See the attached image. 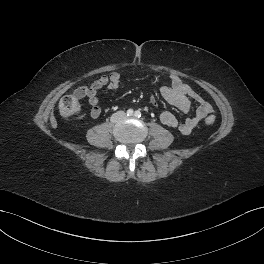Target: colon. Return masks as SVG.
<instances>
[{
	"label": "colon",
	"instance_id": "1",
	"mask_svg": "<svg viewBox=\"0 0 264 264\" xmlns=\"http://www.w3.org/2000/svg\"><path fill=\"white\" fill-rule=\"evenodd\" d=\"M86 88H81L73 94L64 96L59 103L60 113L67 118L76 116L80 111V98L85 95ZM207 125H212L215 122V117L210 115L205 120Z\"/></svg>",
	"mask_w": 264,
	"mask_h": 264
}]
</instances>
